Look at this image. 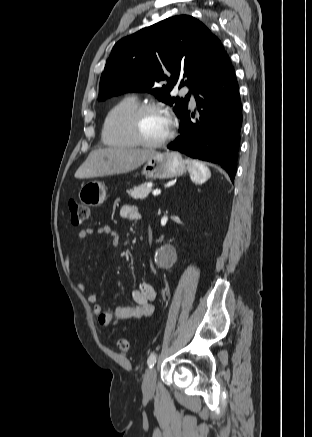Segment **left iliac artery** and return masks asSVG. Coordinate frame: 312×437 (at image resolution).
Listing matches in <instances>:
<instances>
[{
    "label": "left iliac artery",
    "mask_w": 312,
    "mask_h": 437,
    "mask_svg": "<svg viewBox=\"0 0 312 437\" xmlns=\"http://www.w3.org/2000/svg\"><path fill=\"white\" fill-rule=\"evenodd\" d=\"M156 360H157V354L156 353H152L148 357V360H147V364H148L149 368H152L155 365Z\"/></svg>",
    "instance_id": "obj_1"
}]
</instances>
